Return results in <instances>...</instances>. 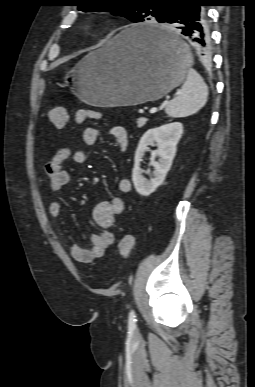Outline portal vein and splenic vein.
I'll return each mask as SVG.
<instances>
[{
    "mask_svg": "<svg viewBox=\"0 0 255 387\" xmlns=\"http://www.w3.org/2000/svg\"><path fill=\"white\" fill-rule=\"evenodd\" d=\"M156 111H157V108H156V107H152V108L149 110V112H150L151 114L155 113ZM138 123H139V124L142 123V118H140V119L138 120Z\"/></svg>",
    "mask_w": 255,
    "mask_h": 387,
    "instance_id": "obj_1",
    "label": "portal vein and splenic vein"
}]
</instances>
